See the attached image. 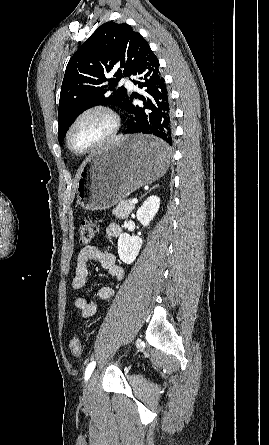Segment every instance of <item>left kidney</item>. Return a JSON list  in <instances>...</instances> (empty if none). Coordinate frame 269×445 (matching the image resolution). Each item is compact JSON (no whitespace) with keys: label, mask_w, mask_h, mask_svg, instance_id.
Segmentation results:
<instances>
[{"label":"left kidney","mask_w":269,"mask_h":445,"mask_svg":"<svg viewBox=\"0 0 269 445\" xmlns=\"http://www.w3.org/2000/svg\"><path fill=\"white\" fill-rule=\"evenodd\" d=\"M159 208L160 198L152 195L137 210V219L143 226H148ZM142 243V239L139 236H130L126 233L121 234L118 239V255L120 259L126 264H131L136 259Z\"/></svg>","instance_id":"left-kidney-1"}]
</instances>
